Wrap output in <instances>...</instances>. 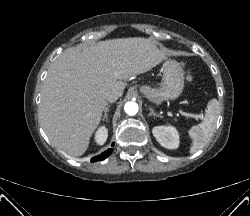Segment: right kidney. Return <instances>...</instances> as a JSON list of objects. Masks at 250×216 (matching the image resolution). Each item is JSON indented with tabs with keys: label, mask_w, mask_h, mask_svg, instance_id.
<instances>
[{
	"label": "right kidney",
	"mask_w": 250,
	"mask_h": 216,
	"mask_svg": "<svg viewBox=\"0 0 250 216\" xmlns=\"http://www.w3.org/2000/svg\"><path fill=\"white\" fill-rule=\"evenodd\" d=\"M108 137V130L105 126H101L95 134V142L98 145H103Z\"/></svg>",
	"instance_id": "ca27d5eb"
}]
</instances>
